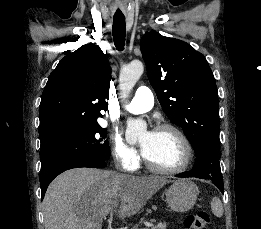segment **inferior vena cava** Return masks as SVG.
Returning <instances> with one entry per match:
<instances>
[{"label":"inferior vena cava","mask_w":261,"mask_h":229,"mask_svg":"<svg viewBox=\"0 0 261 229\" xmlns=\"http://www.w3.org/2000/svg\"><path fill=\"white\" fill-rule=\"evenodd\" d=\"M116 169H118V167H120L119 163H117V165H115Z\"/></svg>","instance_id":"1"}]
</instances>
